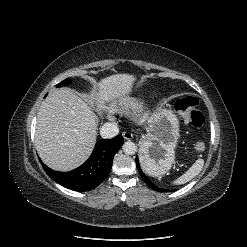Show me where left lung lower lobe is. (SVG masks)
Returning <instances> with one entry per match:
<instances>
[{
  "label": "left lung lower lobe",
  "mask_w": 247,
  "mask_h": 247,
  "mask_svg": "<svg viewBox=\"0 0 247 247\" xmlns=\"http://www.w3.org/2000/svg\"><path fill=\"white\" fill-rule=\"evenodd\" d=\"M136 165H137V169H138V171H139V173H140L142 179L144 180V182H145L150 188H152L153 190L158 191V192H163L162 189L158 188V186L155 185V184H154L149 178H147V177L145 176V174L142 172L141 167H140V165H139L138 157H136ZM167 192H170V190H167Z\"/></svg>",
  "instance_id": "left-lung-lower-lobe-1"
}]
</instances>
